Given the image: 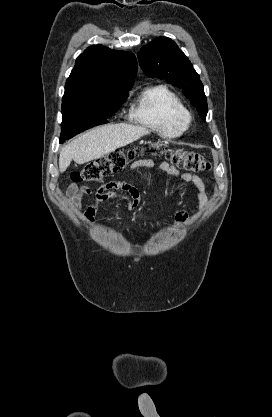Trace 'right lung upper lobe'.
<instances>
[{
  "mask_svg": "<svg viewBox=\"0 0 272 417\" xmlns=\"http://www.w3.org/2000/svg\"><path fill=\"white\" fill-rule=\"evenodd\" d=\"M136 73L137 60L131 52L93 45L77 57L75 67L66 81L62 100L130 90Z\"/></svg>",
  "mask_w": 272,
  "mask_h": 417,
  "instance_id": "right-lung-upper-lobe-1",
  "label": "right lung upper lobe"
}]
</instances>
